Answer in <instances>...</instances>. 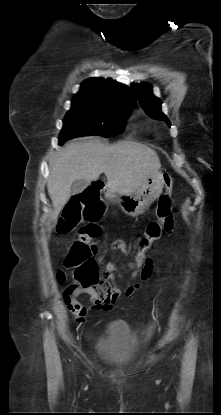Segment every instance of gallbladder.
Masks as SVG:
<instances>
[{"label": "gallbladder", "instance_id": "obj_1", "mask_svg": "<svg viewBox=\"0 0 221 415\" xmlns=\"http://www.w3.org/2000/svg\"><path fill=\"white\" fill-rule=\"evenodd\" d=\"M88 185H89V181L87 180H84V179L76 180L72 183L71 191L74 194H78L82 192L83 190H85L88 187Z\"/></svg>", "mask_w": 221, "mask_h": 415}]
</instances>
